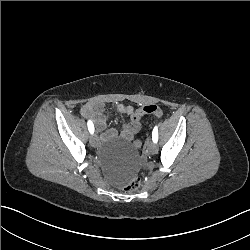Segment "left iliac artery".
I'll return each instance as SVG.
<instances>
[{"instance_id":"obj_1","label":"left iliac artery","mask_w":250,"mask_h":250,"mask_svg":"<svg viewBox=\"0 0 250 250\" xmlns=\"http://www.w3.org/2000/svg\"><path fill=\"white\" fill-rule=\"evenodd\" d=\"M152 140H153L154 143H157V141H158V129H157V126H155V128L153 129Z\"/></svg>"}]
</instances>
